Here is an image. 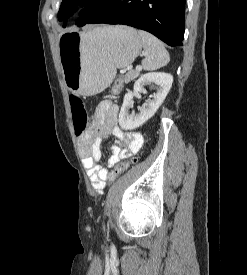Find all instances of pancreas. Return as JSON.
I'll return each mask as SVG.
<instances>
[{
    "label": "pancreas",
    "mask_w": 247,
    "mask_h": 275,
    "mask_svg": "<svg viewBox=\"0 0 247 275\" xmlns=\"http://www.w3.org/2000/svg\"><path fill=\"white\" fill-rule=\"evenodd\" d=\"M139 74H140V71H137V70L128 71V73H126L123 76L124 83H129L130 81L136 79L139 76Z\"/></svg>",
    "instance_id": "cf45deb5"
}]
</instances>
